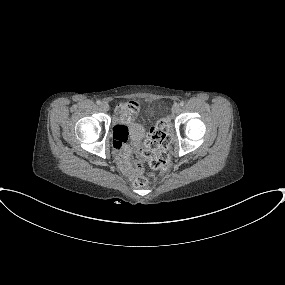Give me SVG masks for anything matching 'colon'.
Listing matches in <instances>:
<instances>
[{"instance_id": "obj_1", "label": "colon", "mask_w": 285, "mask_h": 285, "mask_svg": "<svg viewBox=\"0 0 285 285\" xmlns=\"http://www.w3.org/2000/svg\"><path fill=\"white\" fill-rule=\"evenodd\" d=\"M138 111L139 105L134 101L123 103L118 107V113L128 118L135 116ZM168 127L167 120L161 119L151 128L148 137L144 141L140 155L148 160L152 170L165 172L169 169V155L161 150L167 148L171 143ZM119 141L121 144H125L127 142L126 135H123ZM132 168L137 172L133 178V184L136 187L146 185L148 179L153 175L150 171H144L143 164L140 161L134 162Z\"/></svg>"}]
</instances>
